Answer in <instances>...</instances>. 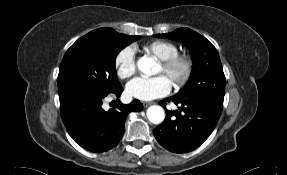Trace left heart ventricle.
<instances>
[{"mask_svg": "<svg viewBox=\"0 0 287 175\" xmlns=\"http://www.w3.org/2000/svg\"><path fill=\"white\" fill-rule=\"evenodd\" d=\"M157 73L159 74V73H164V71H163V67H162V65L160 64L159 65V67H158V70H157ZM165 74V73H164ZM166 75V74H165ZM168 78H169V76L168 75H166Z\"/></svg>", "mask_w": 287, "mask_h": 175, "instance_id": "1", "label": "left heart ventricle"}]
</instances>
